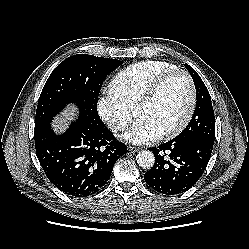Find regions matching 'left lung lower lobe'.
Returning <instances> with one entry per match:
<instances>
[{"instance_id": "obj_1", "label": "left lung lower lobe", "mask_w": 249, "mask_h": 249, "mask_svg": "<svg viewBox=\"0 0 249 249\" xmlns=\"http://www.w3.org/2000/svg\"><path fill=\"white\" fill-rule=\"evenodd\" d=\"M214 141L201 137L174 139L150 148L155 164L144 174L146 183L159 193L175 195L190 189L203 174Z\"/></svg>"}]
</instances>
